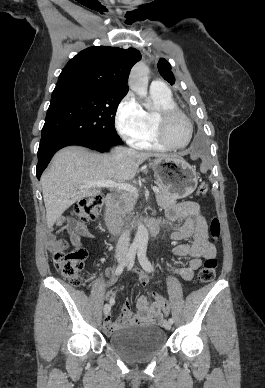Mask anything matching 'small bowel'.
Instances as JSON below:
<instances>
[{
	"label": "small bowel",
	"instance_id": "obj_1",
	"mask_svg": "<svg viewBox=\"0 0 265 388\" xmlns=\"http://www.w3.org/2000/svg\"><path fill=\"white\" fill-rule=\"evenodd\" d=\"M166 219L170 223L182 222L181 226L171 232L166 233V236L175 241H182L187 238H192L191 244H177L174 247V253L180 257H189V261L175 270V273L184 281H190L194 277V273L201 267L202 260L216 256V247L208 240V225L205 217L201 214L200 206L197 202L187 201L175 205L166 211ZM56 228L58 232L67 231L70 236L71 243L76 247H82L81 237L91 238L93 233L82 222L77 221L72 217H59L56 220ZM68 244L65 240L59 239L52 235L49 241V250L55 253L65 249ZM136 278L141 286L147 285L149 277L143 272H137ZM117 281L116 277L108 271L107 287L112 286ZM116 291H109L107 299L109 302H115ZM138 313L133 314L131 311V303L126 301L121 310V315L115 321H112L107 315L104 321V331L111 333L125 325H141L159 323L162 320L161 306L154 301L149 304L145 296H140L137 302Z\"/></svg>",
	"mask_w": 265,
	"mask_h": 388
}]
</instances>
